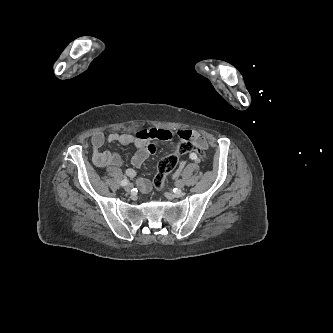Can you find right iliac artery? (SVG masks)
<instances>
[{"instance_id":"1","label":"right iliac artery","mask_w":333,"mask_h":333,"mask_svg":"<svg viewBox=\"0 0 333 333\" xmlns=\"http://www.w3.org/2000/svg\"><path fill=\"white\" fill-rule=\"evenodd\" d=\"M128 182L129 181L127 179H124V180L121 181L120 184H121V186H126L128 184Z\"/></svg>"}]
</instances>
